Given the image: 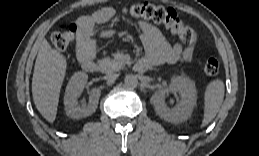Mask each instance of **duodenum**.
Here are the masks:
<instances>
[{
  "instance_id": "obj_1",
  "label": "duodenum",
  "mask_w": 259,
  "mask_h": 156,
  "mask_svg": "<svg viewBox=\"0 0 259 156\" xmlns=\"http://www.w3.org/2000/svg\"><path fill=\"white\" fill-rule=\"evenodd\" d=\"M82 67L87 72H97L99 69V65L96 61L93 60L91 55H86L82 57ZM147 68V65L141 61H139L135 65V69L138 72H144Z\"/></svg>"
}]
</instances>
